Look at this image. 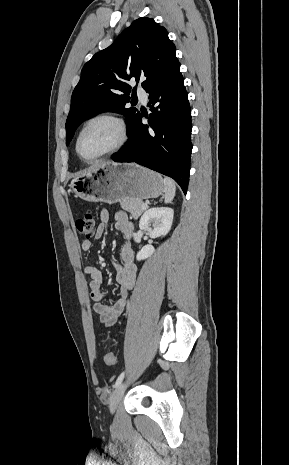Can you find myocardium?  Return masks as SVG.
Instances as JSON below:
<instances>
[{"label": "myocardium", "mask_w": 289, "mask_h": 465, "mask_svg": "<svg viewBox=\"0 0 289 465\" xmlns=\"http://www.w3.org/2000/svg\"><path fill=\"white\" fill-rule=\"evenodd\" d=\"M99 120H105V121H109L111 123H113L118 131H119V140L118 142L110 149L100 153L99 155L95 156V157H92V158H85L83 157L81 154H80V151H79V142H80V138L82 136V134L84 133L85 129L93 122L95 121H99ZM128 140V128H127V124L125 122V120L115 114V113H111V112H98V113H95L93 115H91L90 117H88L82 124V126L80 127L77 135H76V138H75V152H76V155L79 157L80 160H82L83 162L85 163H93V162H96L98 160H100L101 158H104L108 155H111L117 151H119L124 145L125 143L127 142Z\"/></svg>", "instance_id": "1"}]
</instances>
